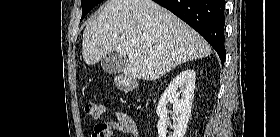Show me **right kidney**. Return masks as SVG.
<instances>
[{
  "label": "right kidney",
  "mask_w": 280,
  "mask_h": 137,
  "mask_svg": "<svg viewBox=\"0 0 280 137\" xmlns=\"http://www.w3.org/2000/svg\"><path fill=\"white\" fill-rule=\"evenodd\" d=\"M195 72L186 69L177 75L160 97L156 113L160 117L157 123L159 137H184L187 124L191 115L192 102L195 90ZM182 90V97L179 98ZM173 105V112L176 115L175 123L172 126L173 135H167L168 110L167 105Z\"/></svg>",
  "instance_id": "obj_1"
}]
</instances>
